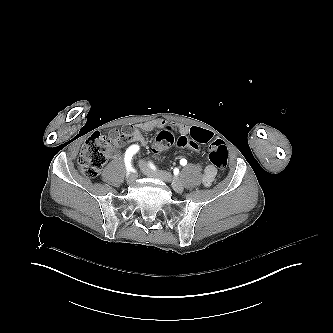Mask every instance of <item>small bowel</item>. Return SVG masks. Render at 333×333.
Returning a JSON list of instances; mask_svg holds the SVG:
<instances>
[{
    "mask_svg": "<svg viewBox=\"0 0 333 333\" xmlns=\"http://www.w3.org/2000/svg\"><path fill=\"white\" fill-rule=\"evenodd\" d=\"M171 125L172 124L170 122L167 123V121H165L163 119H156L153 121L140 123L131 128V136H130L129 142L132 144V146H136L138 144H145L147 142V140L144 137V135L142 134L143 132H149V131H152L155 129L164 128L166 126L170 127ZM175 127L177 129H179L181 126L179 124H177ZM182 131L184 133L188 132L190 135V136H187L185 134H182V136H183L182 141H185L184 140L185 138H191V137H198V138H210L211 137V133L208 130H205L202 128L194 127L189 130V128L184 125L182 127ZM216 176H217L216 168L213 165L206 166L203 177H202L203 184L205 186H210L214 182Z\"/></svg>",
    "mask_w": 333,
    "mask_h": 333,
    "instance_id": "obj_1",
    "label": "small bowel"
}]
</instances>
